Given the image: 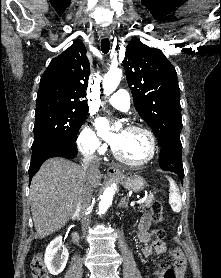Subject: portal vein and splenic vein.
<instances>
[{
  "instance_id": "1",
  "label": "portal vein and splenic vein",
  "mask_w": 221,
  "mask_h": 278,
  "mask_svg": "<svg viewBox=\"0 0 221 278\" xmlns=\"http://www.w3.org/2000/svg\"><path fill=\"white\" fill-rule=\"evenodd\" d=\"M144 202V199H140V200H137V201H133L132 203H131V206H134L135 204H141V203H143Z\"/></svg>"
}]
</instances>
